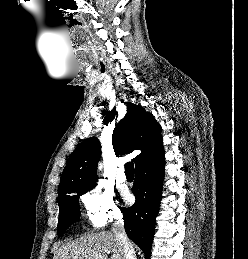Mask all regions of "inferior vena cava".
Here are the masks:
<instances>
[{
	"mask_svg": "<svg viewBox=\"0 0 248 259\" xmlns=\"http://www.w3.org/2000/svg\"><path fill=\"white\" fill-rule=\"evenodd\" d=\"M112 231L118 239L120 245L123 247L124 259H137L134 248L125 233L122 214H116L114 216Z\"/></svg>",
	"mask_w": 248,
	"mask_h": 259,
	"instance_id": "obj_1",
	"label": "inferior vena cava"
}]
</instances>
